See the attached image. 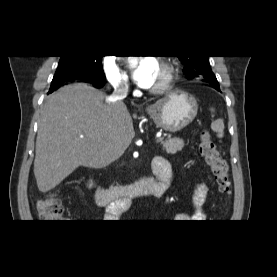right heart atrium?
<instances>
[{
    "label": "right heart atrium",
    "instance_id": "1",
    "mask_svg": "<svg viewBox=\"0 0 277 277\" xmlns=\"http://www.w3.org/2000/svg\"><path fill=\"white\" fill-rule=\"evenodd\" d=\"M103 64L106 78L113 87L123 89L128 86V75L120 68L116 57H106Z\"/></svg>",
    "mask_w": 277,
    "mask_h": 277
}]
</instances>
